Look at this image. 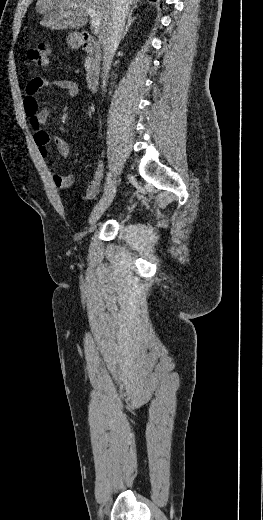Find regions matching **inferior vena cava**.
<instances>
[{
    "instance_id": "1",
    "label": "inferior vena cava",
    "mask_w": 263,
    "mask_h": 520,
    "mask_svg": "<svg viewBox=\"0 0 263 520\" xmlns=\"http://www.w3.org/2000/svg\"><path fill=\"white\" fill-rule=\"evenodd\" d=\"M130 0H114L111 22L103 40L102 89L105 91L112 59L122 38Z\"/></svg>"
}]
</instances>
